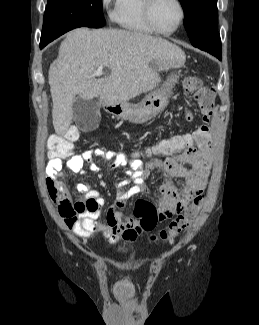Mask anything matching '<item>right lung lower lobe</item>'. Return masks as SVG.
Wrapping results in <instances>:
<instances>
[{
  "instance_id": "1",
  "label": "right lung lower lobe",
  "mask_w": 259,
  "mask_h": 325,
  "mask_svg": "<svg viewBox=\"0 0 259 325\" xmlns=\"http://www.w3.org/2000/svg\"><path fill=\"white\" fill-rule=\"evenodd\" d=\"M47 44L44 43H40V48L42 49L43 47H45Z\"/></svg>"
}]
</instances>
